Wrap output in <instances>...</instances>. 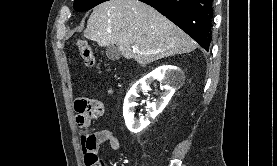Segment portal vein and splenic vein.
Returning <instances> with one entry per match:
<instances>
[{"instance_id": "18ae733b", "label": "portal vein and splenic vein", "mask_w": 277, "mask_h": 166, "mask_svg": "<svg viewBox=\"0 0 277 166\" xmlns=\"http://www.w3.org/2000/svg\"><path fill=\"white\" fill-rule=\"evenodd\" d=\"M133 52H134V53H138V52H139L138 48L133 47Z\"/></svg>"}]
</instances>
